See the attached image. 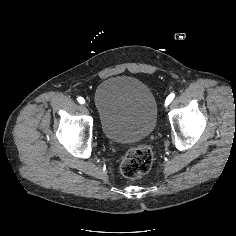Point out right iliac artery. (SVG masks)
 Here are the masks:
<instances>
[{
    "instance_id": "1",
    "label": "right iliac artery",
    "mask_w": 236,
    "mask_h": 236,
    "mask_svg": "<svg viewBox=\"0 0 236 236\" xmlns=\"http://www.w3.org/2000/svg\"><path fill=\"white\" fill-rule=\"evenodd\" d=\"M77 101L80 103V104H84L85 103V99L83 97H78L77 98Z\"/></svg>"
}]
</instances>
